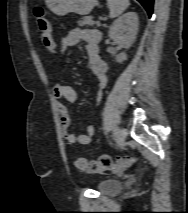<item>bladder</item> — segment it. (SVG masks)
Segmentation results:
<instances>
[{
  "instance_id": "31cf9c89",
  "label": "bladder",
  "mask_w": 188,
  "mask_h": 213,
  "mask_svg": "<svg viewBox=\"0 0 188 213\" xmlns=\"http://www.w3.org/2000/svg\"><path fill=\"white\" fill-rule=\"evenodd\" d=\"M123 188V184L117 179H104L98 183L97 189L103 195H115Z\"/></svg>"
}]
</instances>
